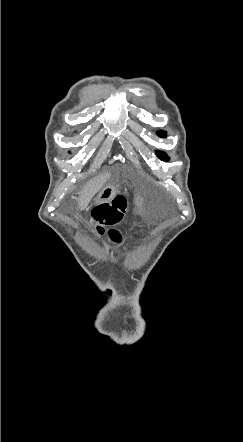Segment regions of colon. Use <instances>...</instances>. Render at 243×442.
<instances>
[{"label":"colon","mask_w":243,"mask_h":442,"mask_svg":"<svg viewBox=\"0 0 243 442\" xmlns=\"http://www.w3.org/2000/svg\"><path fill=\"white\" fill-rule=\"evenodd\" d=\"M127 211V199L124 195L118 194L110 201L98 204L92 214L88 217L87 223L94 227L98 233H103L109 228L108 234L114 243H120L122 236L116 229L125 219Z\"/></svg>","instance_id":"1"}]
</instances>
